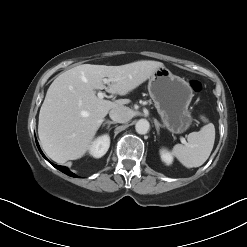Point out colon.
<instances>
[{"label": "colon", "mask_w": 247, "mask_h": 247, "mask_svg": "<svg viewBox=\"0 0 247 247\" xmlns=\"http://www.w3.org/2000/svg\"><path fill=\"white\" fill-rule=\"evenodd\" d=\"M191 87L194 91L199 92L202 89V85L198 81H192L191 82Z\"/></svg>", "instance_id": "colon-1"}]
</instances>
